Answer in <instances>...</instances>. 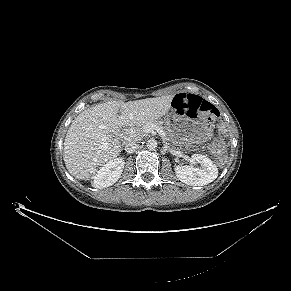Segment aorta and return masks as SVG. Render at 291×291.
<instances>
[{
  "mask_svg": "<svg viewBox=\"0 0 291 291\" xmlns=\"http://www.w3.org/2000/svg\"><path fill=\"white\" fill-rule=\"evenodd\" d=\"M146 146L149 150H155L157 148V141L155 139H149Z\"/></svg>",
  "mask_w": 291,
  "mask_h": 291,
  "instance_id": "1",
  "label": "aorta"
}]
</instances>
